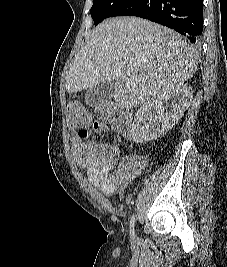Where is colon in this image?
<instances>
[{
    "instance_id": "5ec220e1",
    "label": "colon",
    "mask_w": 227,
    "mask_h": 267,
    "mask_svg": "<svg viewBox=\"0 0 227 267\" xmlns=\"http://www.w3.org/2000/svg\"><path fill=\"white\" fill-rule=\"evenodd\" d=\"M117 106L114 103L106 104L97 109L98 115L108 123L115 120ZM67 117L70 126L83 127L90 122L89 111L79 102H70L67 106Z\"/></svg>"
}]
</instances>
